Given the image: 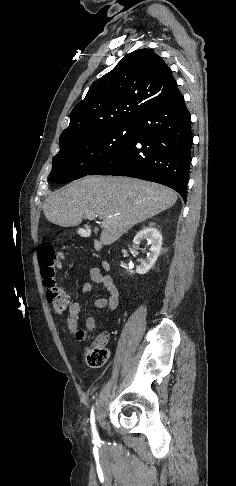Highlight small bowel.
<instances>
[{
  "mask_svg": "<svg viewBox=\"0 0 236 486\" xmlns=\"http://www.w3.org/2000/svg\"><path fill=\"white\" fill-rule=\"evenodd\" d=\"M90 279L92 283H85L82 287L84 294L89 293L92 290V284H99L107 291L106 297L98 298L94 301V306L99 309H106L107 311H113L118 306L119 291L111 276L104 275L98 268H91L89 271ZM81 304L74 302L68 309L67 326L71 335L75 336L78 330V320L81 314ZM97 320L91 316L86 319L85 326L87 330L93 331L96 328ZM109 335L107 332L100 333L95 344L104 345L107 343Z\"/></svg>",
  "mask_w": 236,
  "mask_h": 486,
  "instance_id": "small-bowel-1",
  "label": "small bowel"
}]
</instances>
